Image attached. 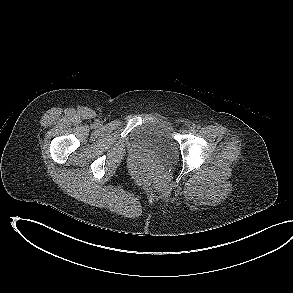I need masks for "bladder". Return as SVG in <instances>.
<instances>
[{"label": "bladder", "mask_w": 293, "mask_h": 293, "mask_svg": "<svg viewBox=\"0 0 293 293\" xmlns=\"http://www.w3.org/2000/svg\"><path fill=\"white\" fill-rule=\"evenodd\" d=\"M132 140L160 163H169L178 155V145L172 126L162 118L142 123L133 131Z\"/></svg>", "instance_id": "31cf9c89"}]
</instances>
